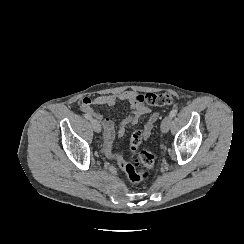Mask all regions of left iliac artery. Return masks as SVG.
<instances>
[{
	"mask_svg": "<svg viewBox=\"0 0 244 244\" xmlns=\"http://www.w3.org/2000/svg\"><path fill=\"white\" fill-rule=\"evenodd\" d=\"M177 112H178V109L174 108L170 111L169 116L173 118L177 114Z\"/></svg>",
	"mask_w": 244,
	"mask_h": 244,
	"instance_id": "left-iliac-artery-1",
	"label": "left iliac artery"
}]
</instances>
